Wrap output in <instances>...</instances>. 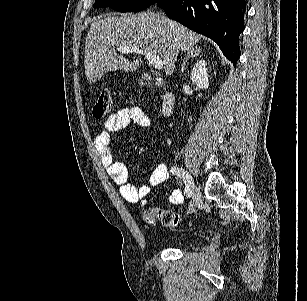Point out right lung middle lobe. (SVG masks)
<instances>
[{
	"instance_id": "dd1d6c3e",
	"label": "right lung middle lobe",
	"mask_w": 307,
	"mask_h": 301,
	"mask_svg": "<svg viewBox=\"0 0 307 301\" xmlns=\"http://www.w3.org/2000/svg\"><path fill=\"white\" fill-rule=\"evenodd\" d=\"M158 0H96L93 7H110L119 12H139L147 9Z\"/></svg>"
}]
</instances>
